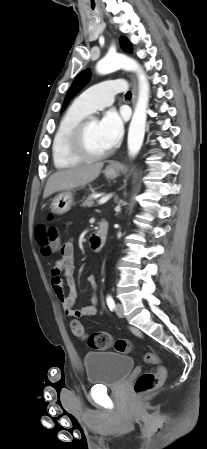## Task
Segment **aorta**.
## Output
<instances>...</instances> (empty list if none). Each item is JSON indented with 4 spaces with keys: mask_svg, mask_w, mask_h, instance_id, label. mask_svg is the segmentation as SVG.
<instances>
[{
    "mask_svg": "<svg viewBox=\"0 0 207 449\" xmlns=\"http://www.w3.org/2000/svg\"><path fill=\"white\" fill-rule=\"evenodd\" d=\"M119 69L134 71L138 77V99L128 131V152L130 156L135 157L140 151L144 140L150 88L147 77L140 65L125 55H107L96 65V70L100 74H109Z\"/></svg>",
    "mask_w": 207,
    "mask_h": 449,
    "instance_id": "762f6f07",
    "label": "aorta"
}]
</instances>
